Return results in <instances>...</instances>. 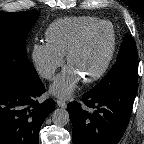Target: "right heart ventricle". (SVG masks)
I'll return each mask as SVG.
<instances>
[{
    "label": "right heart ventricle",
    "instance_id": "obj_1",
    "mask_svg": "<svg viewBox=\"0 0 144 144\" xmlns=\"http://www.w3.org/2000/svg\"><path fill=\"white\" fill-rule=\"evenodd\" d=\"M100 21L92 16L64 17L52 22L46 32L47 43L65 56L74 39L87 27Z\"/></svg>",
    "mask_w": 144,
    "mask_h": 144
}]
</instances>
